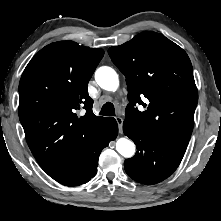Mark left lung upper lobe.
<instances>
[{
  "label": "left lung upper lobe",
  "instance_id": "left-lung-upper-lobe-1",
  "mask_svg": "<svg viewBox=\"0 0 221 221\" xmlns=\"http://www.w3.org/2000/svg\"><path fill=\"white\" fill-rule=\"evenodd\" d=\"M108 53L126 77L130 102L126 119L160 140L187 147L198 92L186 52L165 36L147 31L109 48ZM137 103L147 110L135 109Z\"/></svg>",
  "mask_w": 221,
  "mask_h": 221
}]
</instances>
